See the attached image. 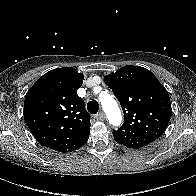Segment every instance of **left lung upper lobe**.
<instances>
[{
	"mask_svg": "<svg viewBox=\"0 0 196 196\" xmlns=\"http://www.w3.org/2000/svg\"><path fill=\"white\" fill-rule=\"evenodd\" d=\"M124 113V123L113 131L114 139L129 148L139 149L158 139L171 118L167 90L146 68L125 66L105 76Z\"/></svg>",
	"mask_w": 196,
	"mask_h": 196,
	"instance_id": "left-lung-upper-lobe-1",
	"label": "left lung upper lobe"
}]
</instances>
